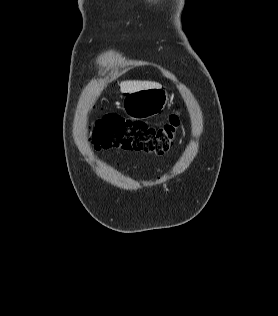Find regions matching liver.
I'll return each instance as SVG.
<instances>
[{
  "instance_id": "obj_1",
  "label": "liver",
  "mask_w": 278,
  "mask_h": 316,
  "mask_svg": "<svg viewBox=\"0 0 278 316\" xmlns=\"http://www.w3.org/2000/svg\"><path fill=\"white\" fill-rule=\"evenodd\" d=\"M149 88H161V85L151 81H123L120 84L122 93H130Z\"/></svg>"
}]
</instances>
